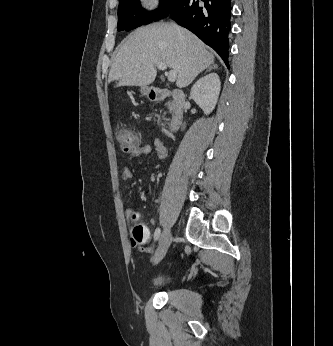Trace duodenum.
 Listing matches in <instances>:
<instances>
[{
  "label": "duodenum",
  "mask_w": 333,
  "mask_h": 346,
  "mask_svg": "<svg viewBox=\"0 0 333 346\" xmlns=\"http://www.w3.org/2000/svg\"><path fill=\"white\" fill-rule=\"evenodd\" d=\"M171 97L170 111L171 119L169 126L165 130L166 134H171L177 131L184 118V108L186 97L181 90L169 91L163 88H152L150 91V99L152 101H162Z\"/></svg>",
  "instance_id": "1"
}]
</instances>
